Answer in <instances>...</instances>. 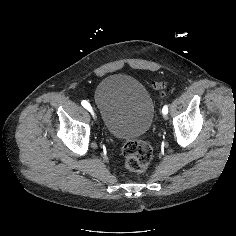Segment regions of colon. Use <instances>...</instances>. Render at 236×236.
<instances>
[{
    "label": "colon",
    "mask_w": 236,
    "mask_h": 236,
    "mask_svg": "<svg viewBox=\"0 0 236 236\" xmlns=\"http://www.w3.org/2000/svg\"><path fill=\"white\" fill-rule=\"evenodd\" d=\"M153 88L160 92H164L166 84L162 81H155ZM123 156L125 159V168L130 173H142L144 172L153 157L152 147L141 140H129L123 144L122 148Z\"/></svg>",
    "instance_id": "obj_1"
}]
</instances>
